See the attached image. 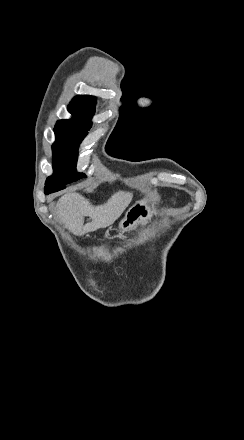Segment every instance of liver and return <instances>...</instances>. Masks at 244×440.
Segmentation results:
<instances>
[{
  "instance_id": "6515ba94",
  "label": "liver",
  "mask_w": 244,
  "mask_h": 440,
  "mask_svg": "<svg viewBox=\"0 0 244 440\" xmlns=\"http://www.w3.org/2000/svg\"><path fill=\"white\" fill-rule=\"evenodd\" d=\"M133 194L130 192H116L107 204L91 206L80 194H64L56 204V214L65 228L71 230L75 236H83L88 232H96L99 228H108L120 218L129 206ZM84 216H89L91 222L84 226Z\"/></svg>"
}]
</instances>
